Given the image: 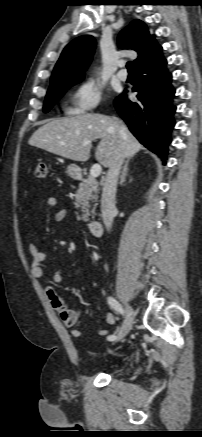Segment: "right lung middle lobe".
<instances>
[{"instance_id":"dd1d6c3e","label":"right lung middle lobe","mask_w":202,"mask_h":437,"mask_svg":"<svg viewBox=\"0 0 202 437\" xmlns=\"http://www.w3.org/2000/svg\"><path fill=\"white\" fill-rule=\"evenodd\" d=\"M83 78L84 76H80L50 85L45 98L43 111L45 113L48 112L54 106V104L65 94L68 88L81 82Z\"/></svg>"}]
</instances>
